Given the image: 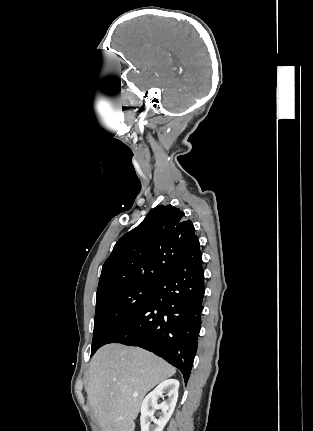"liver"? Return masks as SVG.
I'll list each match as a JSON object with an SVG mask.
<instances>
[{
	"mask_svg": "<svg viewBox=\"0 0 313 431\" xmlns=\"http://www.w3.org/2000/svg\"><path fill=\"white\" fill-rule=\"evenodd\" d=\"M175 372L142 348L116 343L101 347L90 362L86 391L102 431H134L144 396Z\"/></svg>",
	"mask_w": 313,
	"mask_h": 431,
	"instance_id": "obj_1",
	"label": "liver"
}]
</instances>
